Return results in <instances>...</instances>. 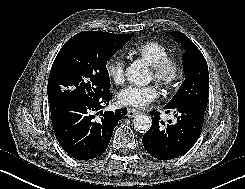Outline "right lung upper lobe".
I'll use <instances>...</instances> for the list:
<instances>
[{"instance_id": "1", "label": "right lung upper lobe", "mask_w": 245, "mask_h": 189, "mask_svg": "<svg viewBox=\"0 0 245 189\" xmlns=\"http://www.w3.org/2000/svg\"><path fill=\"white\" fill-rule=\"evenodd\" d=\"M95 32L104 34V35L111 37L113 39H122V38L126 37V35H127V34H113V33L102 32V31H95Z\"/></svg>"}]
</instances>
